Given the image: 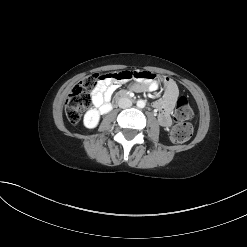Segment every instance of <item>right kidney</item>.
I'll return each mask as SVG.
<instances>
[{"mask_svg":"<svg viewBox=\"0 0 247 247\" xmlns=\"http://www.w3.org/2000/svg\"><path fill=\"white\" fill-rule=\"evenodd\" d=\"M100 120V113L97 109H89L84 115V126L86 128H95Z\"/></svg>","mask_w":247,"mask_h":247,"instance_id":"right-kidney-1","label":"right kidney"}]
</instances>
